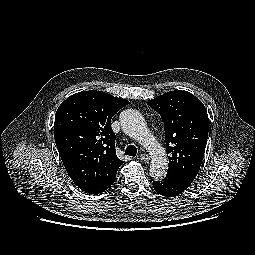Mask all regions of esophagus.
I'll list each match as a JSON object with an SVG mask.
<instances>
[{"label": "esophagus", "mask_w": 255, "mask_h": 255, "mask_svg": "<svg viewBox=\"0 0 255 255\" xmlns=\"http://www.w3.org/2000/svg\"><path fill=\"white\" fill-rule=\"evenodd\" d=\"M139 159H140L141 161L148 162V161H149V159H150V157H149V155H148V154L143 153V154H141V155L139 156Z\"/></svg>", "instance_id": "1"}]
</instances>
